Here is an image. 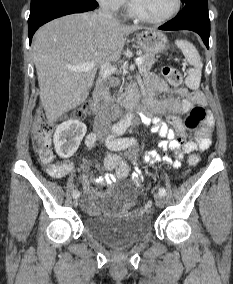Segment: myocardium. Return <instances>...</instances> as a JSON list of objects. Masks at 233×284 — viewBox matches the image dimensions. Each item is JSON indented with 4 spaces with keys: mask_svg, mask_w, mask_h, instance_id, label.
Masks as SVG:
<instances>
[{
    "mask_svg": "<svg viewBox=\"0 0 233 284\" xmlns=\"http://www.w3.org/2000/svg\"><path fill=\"white\" fill-rule=\"evenodd\" d=\"M181 8V0H174L173 1V7L171 8V10L159 17V18H151L148 16L143 15L142 13H140L135 5H134V1L133 0H128V11L130 13V15H132L134 18L145 22V23H150V24H161L164 22L169 21L170 19H172L176 14H178V12L180 11Z\"/></svg>",
    "mask_w": 233,
    "mask_h": 284,
    "instance_id": "obj_1",
    "label": "myocardium"
}]
</instances>
